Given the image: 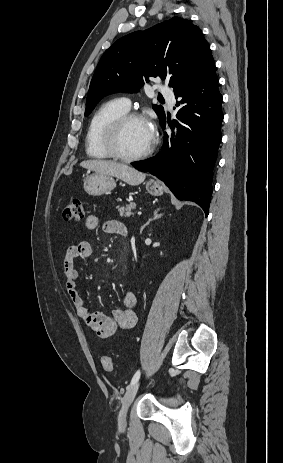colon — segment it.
I'll list each match as a JSON object with an SVG mask.
<instances>
[{
  "label": "colon",
  "mask_w": 283,
  "mask_h": 463,
  "mask_svg": "<svg viewBox=\"0 0 283 463\" xmlns=\"http://www.w3.org/2000/svg\"><path fill=\"white\" fill-rule=\"evenodd\" d=\"M86 213L84 203L81 200L75 199L67 204L63 210V218L65 220H81ZM102 366L105 371L112 372L114 370V362L111 356L104 355L101 359Z\"/></svg>",
  "instance_id": "colon-1"
}]
</instances>
